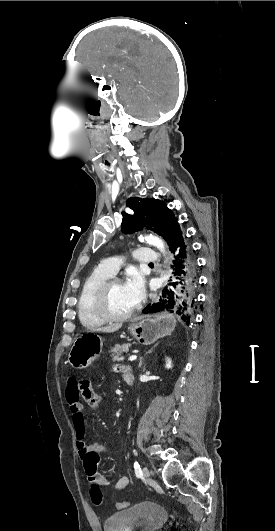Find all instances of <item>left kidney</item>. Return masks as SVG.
<instances>
[{
  "instance_id": "obj_1",
  "label": "left kidney",
  "mask_w": 275,
  "mask_h": 531,
  "mask_svg": "<svg viewBox=\"0 0 275 531\" xmlns=\"http://www.w3.org/2000/svg\"><path fill=\"white\" fill-rule=\"evenodd\" d=\"M166 369H172V361L171 359H166Z\"/></svg>"
}]
</instances>
